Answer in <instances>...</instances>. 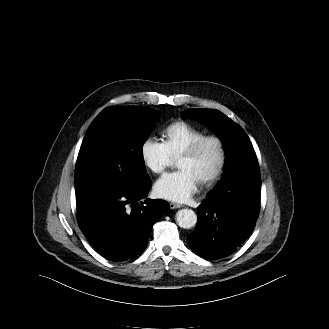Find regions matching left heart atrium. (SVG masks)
<instances>
[{
  "mask_svg": "<svg viewBox=\"0 0 329 329\" xmlns=\"http://www.w3.org/2000/svg\"><path fill=\"white\" fill-rule=\"evenodd\" d=\"M198 179L187 169H180L160 178L154 186L158 197L173 201L185 202L197 190Z\"/></svg>",
  "mask_w": 329,
  "mask_h": 329,
  "instance_id": "left-heart-atrium-1",
  "label": "left heart atrium"
}]
</instances>
